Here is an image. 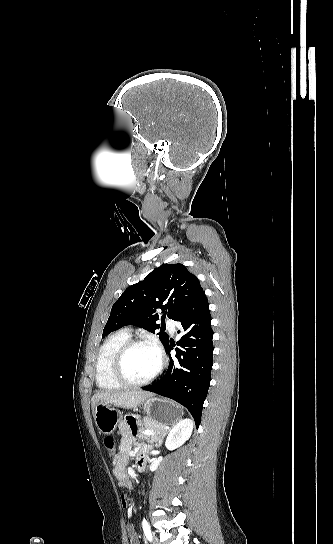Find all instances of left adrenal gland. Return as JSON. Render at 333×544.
I'll return each mask as SVG.
<instances>
[{
  "instance_id": "obj_1",
  "label": "left adrenal gland",
  "mask_w": 333,
  "mask_h": 544,
  "mask_svg": "<svg viewBox=\"0 0 333 544\" xmlns=\"http://www.w3.org/2000/svg\"><path fill=\"white\" fill-rule=\"evenodd\" d=\"M167 433H168V431L162 432V433L158 434V435L155 437V440H154V441L156 442V446H157V447H160V446L162 445L163 439H164V437L166 436Z\"/></svg>"
}]
</instances>
